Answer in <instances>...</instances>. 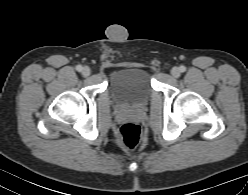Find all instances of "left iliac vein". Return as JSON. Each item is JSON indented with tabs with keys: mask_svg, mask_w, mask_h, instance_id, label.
I'll use <instances>...</instances> for the list:
<instances>
[{
	"mask_svg": "<svg viewBox=\"0 0 248 195\" xmlns=\"http://www.w3.org/2000/svg\"><path fill=\"white\" fill-rule=\"evenodd\" d=\"M171 74L173 77L178 78L181 75V71L178 67H173L171 70Z\"/></svg>",
	"mask_w": 248,
	"mask_h": 195,
	"instance_id": "4c4485c4",
	"label": "left iliac vein"
}]
</instances>
